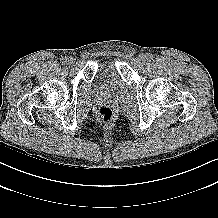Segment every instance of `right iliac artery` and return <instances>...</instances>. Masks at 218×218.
<instances>
[{"label": "right iliac artery", "instance_id": "obj_1", "mask_svg": "<svg viewBox=\"0 0 218 218\" xmlns=\"http://www.w3.org/2000/svg\"><path fill=\"white\" fill-rule=\"evenodd\" d=\"M61 60H62V63H63V64H65V63H66V60H67V58L65 57V58H62Z\"/></svg>", "mask_w": 218, "mask_h": 218}]
</instances>
